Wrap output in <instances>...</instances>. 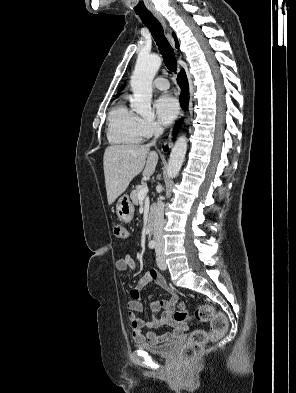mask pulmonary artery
<instances>
[{"label":"pulmonary artery","mask_w":296,"mask_h":393,"mask_svg":"<svg viewBox=\"0 0 296 393\" xmlns=\"http://www.w3.org/2000/svg\"><path fill=\"white\" fill-rule=\"evenodd\" d=\"M153 86L161 91H166L169 89V81L164 77H158L154 80Z\"/></svg>","instance_id":"1"}]
</instances>
